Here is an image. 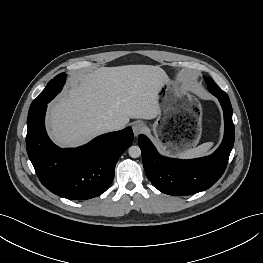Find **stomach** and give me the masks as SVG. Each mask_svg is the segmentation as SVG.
<instances>
[{
  "instance_id": "obj_1",
  "label": "stomach",
  "mask_w": 263,
  "mask_h": 263,
  "mask_svg": "<svg viewBox=\"0 0 263 263\" xmlns=\"http://www.w3.org/2000/svg\"><path fill=\"white\" fill-rule=\"evenodd\" d=\"M159 98L163 117L153 124L152 131L166 154L178 156L198 144L202 108L196 98L169 79L161 87Z\"/></svg>"
}]
</instances>
